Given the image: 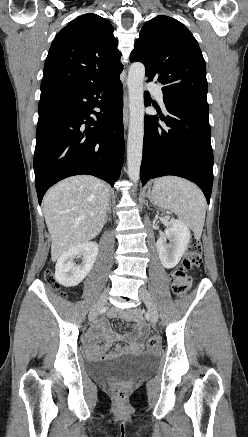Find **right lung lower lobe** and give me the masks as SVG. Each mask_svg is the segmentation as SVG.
<instances>
[{"label": "right lung lower lobe", "mask_w": 248, "mask_h": 437, "mask_svg": "<svg viewBox=\"0 0 248 437\" xmlns=\"http://www.w3.org/2000/svg\"><path fill=\"white\" fill-rule=\"evenodd\" d=\"M119 75L95 86L41 91L34 153L39 204L52 185L69 176L93 175L111 186L119 178L124 157ZM96 106L101 112L93 111Z\"/></svg>", "instance_id": "1"}]
</instances>
